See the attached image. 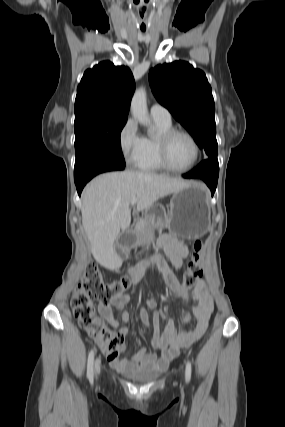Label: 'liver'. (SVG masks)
Here are the masks:
<instances>
[{"instance_id":"6515ba94","label":"liver","mask_w":285,"mask_h":427,"mask_svg":"<svg viewBox=\"0 0 285 427\" xmlns=\"http://www.w3.org/2000/svg\"><path fill=\"white\" fill-rule=\"evenodd\" d=\"M190 182L148 172L105 173L94 178L82 194V224L95 260L103 266L116 263L114 242L131 223L130 202L137 197V211L160 198L186 188Z\"/></svg>"}]
</instances>
